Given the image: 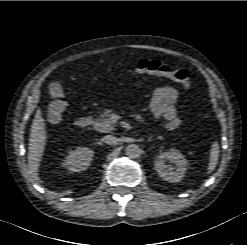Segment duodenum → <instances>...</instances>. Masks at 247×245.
Returning <instances> with one entry per match:
<instances>
[{"label": "duodenum", "instance_id": "obj_1", "mask_svg": "<svg viewBox=\"0 0 247 245\" xmlns=\"http://www.w3.org/2000/svg\"><path fill=\"white\" fill-rule=\"evenodd\" d=\"M90 124L91 120L88 117H79L75 122V125L78 128H87Z\"/></svg>", "mask_w": 247, "mask_h": 245}]
</instances>
